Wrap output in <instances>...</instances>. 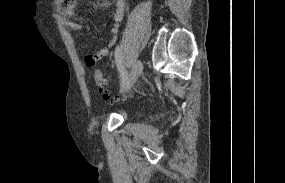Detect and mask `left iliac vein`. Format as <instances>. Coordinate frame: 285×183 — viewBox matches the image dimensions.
Returning a JSON list of instances; mask_svg holds the SVG:
<instances>
[{
  "label": "left iliac vein",
  "instance_id": "1",
  "mask_svg": "<svg viewBox=\"0 0 285 183\" xmlns=\"http://www.w3.org/2000/svg\"><path fill=\"white\" fill-rule=\"evenodd\" d=\"M142 70H143L142 62L140 60H137L135 65L133 66L131 75H130L127 83L123 86V90L127 91L134 85L136 80L142 74Z\"/></svg>",
  "mask_w": 285,
  "mask_h": 183
}]
</instances>
